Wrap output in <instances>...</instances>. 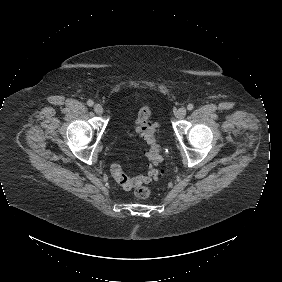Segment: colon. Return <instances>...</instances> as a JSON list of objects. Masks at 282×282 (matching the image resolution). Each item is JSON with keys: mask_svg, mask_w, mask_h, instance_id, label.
Returning a JSON list of instances; mask_svg holds the SVG:
<instances>
[{"mask_svg": "<svg viewBox=\"0 0 282 282\" xmlns=\"http://www.w3.org/2000/svg\"><path fill=\"white\" fill-rule=\"evenodd\" d=\"M139 130L142 132V137L146 141L147 150L145 157L148 161V166L144 174L132 177L125 174L123 167L118 162H112L110 165V173L116 182L124 189L131 190L133 186L139 182H151L159 174V165L162 162L161 146L156 136L154 123L151 121L153 110L150 106L145 105L140 110ZM136 199L145 200L150 197L151 189L149 187H140L133 192Z\"/></svg>", "mask_w": 282, "mask_h": 282, "instance_id": "5ec220e1", "label": "colon"}]
</instances>
